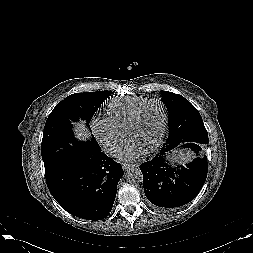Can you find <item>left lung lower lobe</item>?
Wrapping results in <instances>:
<instances>
[{"mask_svg": "<svg viewBox=\"0 0 253 253\" xmlns=\"http://www.w3.org/2000/svg\"><path fill=\"white\" fill-rule=\"evenodd\" d=\"M181 147L193 152L195 159L185 167H172L166 155ZM205 146L189 141L162 147L152 160L140 165L143 187L148 200L160 209H174L191 202L201 190L208 173Z\"/></svg>", "mask_w": 253, "mask_h": 253, "instance_id": "obj_1", "label": "left lung lower lobe"}]
</instances>
